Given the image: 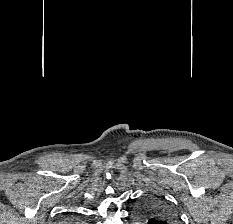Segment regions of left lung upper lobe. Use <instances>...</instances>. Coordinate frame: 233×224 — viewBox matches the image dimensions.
<instances>
[{
	"label": "left lung upper lobe",
	"instance_id": "obj_1",
	"mask_svg": "<svg viewBox=\"0 0 233 224\" xmlns=\"http://www.w3.org/2000/svg\"><path fill=\"white\" fill-rule=\"evenodd\" d=\"M137 213L147 224H178V216L159 196L145 197L137 207Z\"/></svg>",
	"mask_w": 233,
	"mask_h": 224
}]
</instances>
